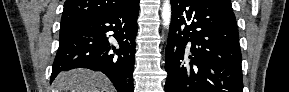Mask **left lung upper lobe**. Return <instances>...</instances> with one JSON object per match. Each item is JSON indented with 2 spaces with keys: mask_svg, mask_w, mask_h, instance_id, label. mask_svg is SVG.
<instances>
[{
  "mask_svg": "<svg viewBox=\"0 0 289 92\" xmlns=\"http://www.w3.org/2000/svg\"><path fill=\"white\" fill-rule=\"evenodd\" d=\"M211 1H213L217 4H220V5L224 6L225 8L233 11L230 0H211Z\"/></svg>",
  "mask_w": 289,
  "mask_h": 92,
  "instance_id": "obj_1",
  "label": "left lung upper lobe"
}]
</instances>
